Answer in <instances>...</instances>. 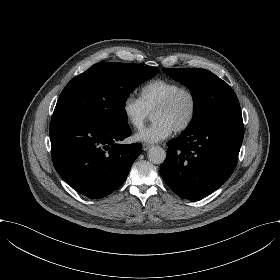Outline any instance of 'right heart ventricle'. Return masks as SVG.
Returning a JSON list of instances; mask_svg holds the SVG:
<instances>
[{
    "label": "right heart ventricle",
    "instance_id": "1",
    "mask_svg": "<svg viewBox=\"0 0 280 280\" xmlns=\"http://www.w3.org/2000/svg\"><path fill=\"white\" fill-rule=\"evenodd\" d=\"M181 85L178 82L157 78L144 84L139 90V100L147 111L153 112L156 106L176 91Z\"/></svg>",
    "mask_w": 280,
    "mask_h": 280
}]
</instances>
